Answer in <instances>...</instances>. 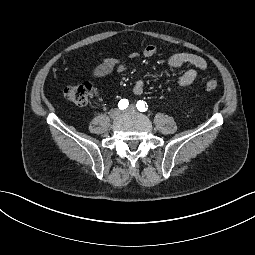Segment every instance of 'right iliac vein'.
<instances>
[{"mask_svg":"<svg viewBox=\"0 0 255 255\" xmlns=\"http://www.w3.org/2000/svg\"><path fill=\"white\" fill-rule=\"evenodd\" d=\"M121 111L118 108L112 109L109 113L110 118L115 120L120 116Z\"/></svg>","mask_w":255,"mask_h":255,"instance_id":"obj_1","label":"right iliac vein"}]
</instances>
